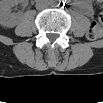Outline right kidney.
Masks as SVG:
<instances>
[{"mask_svg": "<svg viewBox=\"0 0 103 103\" xmlns=\"http://www.w3.org/2000/svg\"><path fill=\"white\" fill-rule=\"evenodd\" d=\"M15 0H3L0 4V24L3 27L12 28L19 22V16L11 12L12 7L17 5Z\"/></svg>", "mask_w": 103, "mask_h": 103, "instance_id": "right-kidney-1", "label": "right kidney"}]
</instances>
